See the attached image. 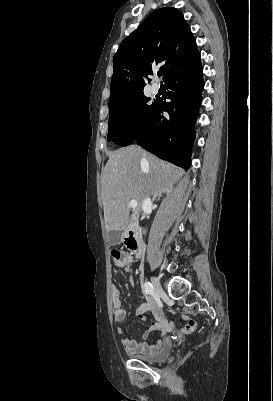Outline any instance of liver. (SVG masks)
Returning a JSON list of instances; mask_svg holds the SVG:
<instances>
[{
	"instance_id": "6515ba94",
	"label": "liver",
	"mask_w": 273,
	"mask_h": 401,
	"mask_svg": "<svg viewBox=\"0 0 273 401\" xmlns=\"http://www.w3.org/2000/svg\"><path fill=\"white\" fill-rule=\"evenodd\" d=\"M185 170L160 160L138 144L118 148L109 154L101 178L102 203L106 231H121L128 219H139L147 196L169 192ZM138 207L129 217V203Z\"/></svg>"
}]
</instances>
